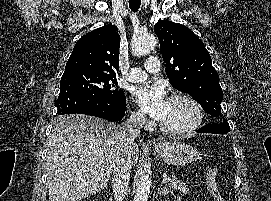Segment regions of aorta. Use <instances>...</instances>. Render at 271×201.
Listing matches in <instances>:
<instances>
[{
	"label": "aorta",
	"instance_id": "obj_1",
	"mask_svg": "<svg viewBox=\"0 0 271 201\" xmlns=\"http://www.w3.org/2000/svg\"><path fill=\"white\" fill-rule=\"evenodd\" d=\"M156 46V38L151 34L136 35L131 42V50L135 56L148 54ZM151 180L148 174H143L137 183L133 201H147L150 194Z\"/></svg>",
	"mask_w": 271,
	"mask_h": 201
}]
</instances>
